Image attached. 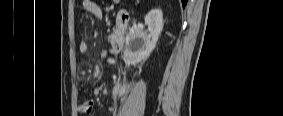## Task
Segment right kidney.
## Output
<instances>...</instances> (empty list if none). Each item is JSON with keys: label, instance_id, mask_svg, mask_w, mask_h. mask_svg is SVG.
<instances>
[{"label": "right kidney", "instance_id": "ca27d5eb", "mask_svg": "<svg viewBox=\"0 0 283 116\" xmlns=\"http://www.w3.org/2000/svg\"><path fill=\"white\" fill-rule=\"evenodd\" d=\"M147 31L130 32L126 39L124 57L134 62L144 61L155 49L158 38L163 29V15L159 9L151 10L145 16Z\"/></svg>", "mask_w": 283, "mask_h": 116}]
</instances>
